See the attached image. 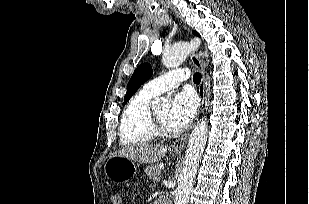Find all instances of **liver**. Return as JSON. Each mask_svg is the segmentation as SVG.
Here are the masks:
<instances>
[{"label": "liver", "mask_w": 309, "mask_h": 204, "mask_svg": "<svg viewBox=\"0 0 309 204\" xmlns=\"http://www.w3.org/2000/svg\"><path fill=\"white\" fill-rule=\"evenodd\" d=\"M167 147L164 145H132L123 147L113 154V156H122L132 161L151 164L156 163L164 158Z\"/></svg>", "instance_id": "liver-1"}]
</instances>
